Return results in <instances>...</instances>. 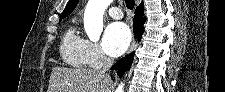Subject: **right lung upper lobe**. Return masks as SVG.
Returning <instances> with one entry per match:
<instances>
[{"mask_svg":"<svg viewBox=\"0 0 225 92\" xmlns=\"http://www.w3.org/2000/svg\"><path fill=\"white\" fill-rule=\"evenodd\" d=\"M78 1L79 0H69L68 5L62 13L61 19L68 16L75 9ZM137 8L144 9L143 2Z\"/></svg>","mask_w":225,"mask_h":92,"instance_id":"obj_1","label":"right lung upper lobe"}]
</instances>
